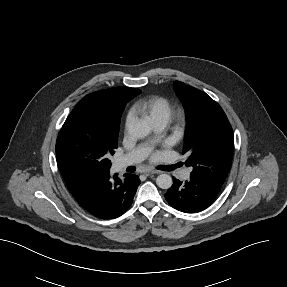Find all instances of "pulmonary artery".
Returning a JSON list of instances; mask_svg holds the SVG:
<instances>
[{
	"mask_svg": "<svg viewBox=\"0 0 287 287\" xmlns=\"http://www.w3.org/2000/svg\"><path fill=\"white\" fill-rule=\"evenodd\" d=\"M155 132L159 133L161 132L165 125L161 123H157L153 125ZM148 153V148L144 145H141L137 147L135 150L130 152L129 154L121 157L116 162V170L121 171L124 168H126L129 165L136 164L140 161H142ZM191 170L189 168H186L182 171L181 177L183 179H188L190 177Z\"/></svg>",
	"mask_w": 287,
	"mask_h": 287,
	"instance_id": "obj_1",
	"label": "pulmonary artery"
}]
</instances>
